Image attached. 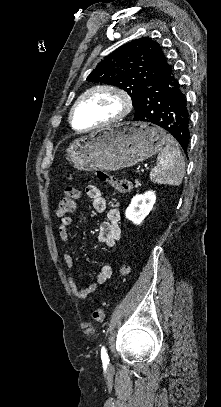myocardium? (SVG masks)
Here are the masks:
<instances>
[{
  "label": "myocardium",
  "mask_w": 221,
  "mask_h": 407,
  "mask_svg": "<svg viewBox=\"0 0 221 407\" xmlns=\"http://www.w3.org/2000/svg\"><path fill=\"white\" fill-rule=\"evenodd\" d=\"M98 92H109V93H113L115 94L121 103V109L120 111L112 118L103 121L95 126L86 128L84 130H78L75 125H74V114L75 111L77 109V107L90 95L94 94V93H98ZM133 107V102H132V98L130 96V94L123 88L115 86V85H98V86H94L88 90H86L83 94H81L78 99L75 101L73 107L70 110L69 113V121L71 126L73 127V129H76L78 131H92V130H96L99 129L103 126L109 125V124H113L115 122L120 121L121 119H123L125 116H127L130 111L132 110Z\"/></svg>",
  "instance_id": "myocardium-1"
}]
</instances>
